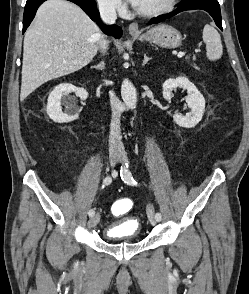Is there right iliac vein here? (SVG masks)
Listing matches in <instances>:
<instances>
[{
    "label": "right iliac vein",
    "instance_id": "63e3f726",
    "mask_svg": "<svg viewBox=\"0 0 249 294\" xmlns=\"http://www.w3.org/2000/svg\"><path fill=\"white\" fill-rule=\"evenodd\" d=\"M118 158H119V152H118V150L117 149H111L109 151V161H110L111 166H114L117 163ZM99 221H100V215H99V213H96L89 220L88 226L90 228H94V227L97 226V224L99 223Z\"/></svg>",
    "mask_w": 249,
    "mask_h": 294
}]
</instances>
